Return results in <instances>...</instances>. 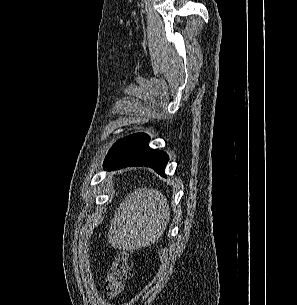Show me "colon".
I'll list each match as a JSON object with an SVG mask.
<instances>
[{
  "instance_id": "obj_1",
  "label": "colon",
  "mask_w": 297,
  "mask_h": 305,
  "mask_svg": "<svg viewBox=\"0 0 297 305\" xmlns=\"http://www.w3.org/2000/svg\"><path fill=\"white\" fill-rule=\"evenodd\" d=\"M131 275V265L126 254L118 255L111 264L104 282V291L108 298H116L124 289Z\"/></svg>"
}]
</instances>
